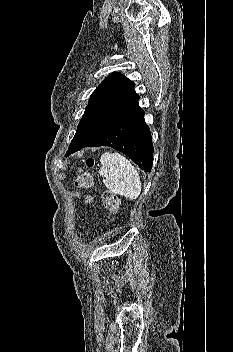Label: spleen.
I'll return each instance as SVG.
<instances>
[{
	"label": "spleen",
	"instance_id": "3e777b00",
	"mask_svg": "<svg viewBox=\"0 0 233 352\" xmlns=\"http://www.w3.org/2000/svg\"><path fill=\"white\" fill-rule=\"evenodd\" d=\"M99 174L112 193L135 200L141 193L140 176L132 163L119 153H104Z\"/></svg>",
	"mask_w": 233,
	"mask_h": 352
}]
</instances>
